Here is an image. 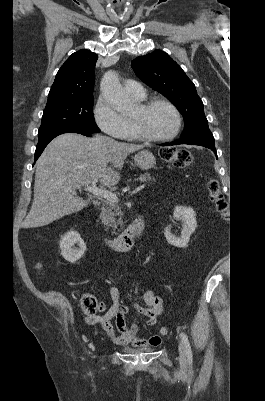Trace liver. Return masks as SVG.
Segmentation results:
<instances>
[{
    "mask_svg": "<svg viewBox=\"0 0 265 401\" xmlns=\"http://www.w3.org/2000/svg\"><path fill=\"white\" fill-rule=\"evenodd\" d=\"M143 146L101 134L86 138L76 132L51 140L36 162L33 203L22 227H45L82 211L88 203L77 196V186H88L93 178H100L104 186L117 184L120 174L112 166L120 170L128 154Z\"/></svg>",
    "mask_w": 265,
    "mask_h": 401,
    "instance_id": "1",
    "label": "liver"
}]
</instances>
